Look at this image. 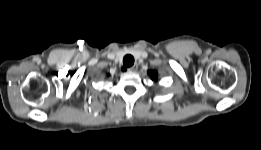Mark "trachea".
I'll list each match as a JSON object with an SVG mask.
<instances>
[{"label":"trachea","instance_id":"3493384b","mask_svg":"<svg viewBox=\"0 0 261 150\" xmlns=\"http://www.w3.org/2000/svg\"><path fill=\"white\" fill-rule=\"evenodd\" d=\"M123 64L125 67H123L122 69L125 70L127 67H130L134 64V57L132 55H126L123 58Z\"/></svg>","mask_w":261,"mask_h":150}]
</instances>
